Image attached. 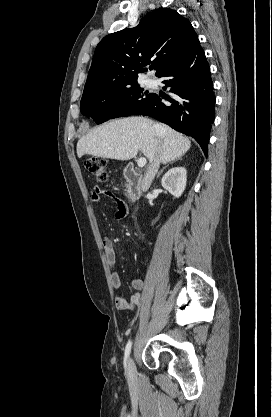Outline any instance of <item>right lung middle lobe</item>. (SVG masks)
<instances>
[{
    "label": "right lung middle lobe",
    "instance_id": "1",
    "mask_svg": "<svg viewBox=\"0 0 272 417\" xmlns=\"http://www.w3.org/2000/svg\"><path fill=\"white\" fill-rule=\"evenodd\" d=\"M152 95L138 84L114 92L83 94L80 111L101 124L109 119L134 115L149 102Z\"/></svg>",
    "mask_w": 272,
    "mask_h": 417
}]
</instances>
